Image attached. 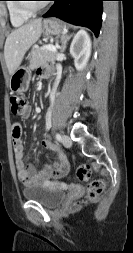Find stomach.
<instances>
[{"label":"stomach","mask_w":133,"mask_h":253,"mask_svg":"<svg viewBox=\"0 0 133 253\" xmlns=\"http://www.w3.org/2000/svg\"><path fill=\"white\" fill-rule=\"evenodd\" d=\"M65 27L55 19H46L43 21L42 33L45 37L60 36ZM31 79L30 67L20 66L11 75L10 89L12 92L22 93L28 90Z\"/></svg>","instance_id":"1"}]
</instances>
